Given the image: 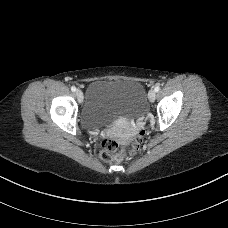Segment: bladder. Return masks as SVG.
I'll return each instance as SVG.
<instances>
[{"label": "bladder", "instance_id": "31cf9c89", "mask_svg": "<svg viewBox=\"0 0 228 228\" xmlns=\"http://www.w3.org/2000/svg\"><path fill=\"white\" fill-rule=\"evenodd\" d=\"M147 111L146 92L134 80H96L86 90L81 119L85 127L113 124L120 118H138Z\"/></svg>", "mask_w": 228, "mask_h": 228}]
</instances>
